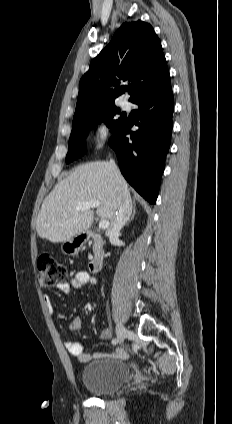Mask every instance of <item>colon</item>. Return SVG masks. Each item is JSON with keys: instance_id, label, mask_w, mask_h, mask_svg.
<instances>
[{"instance_id": "1", "label": "colon", "mask_w": 232, "mask_h": 424, "mask_svg": "<svg viewBox=\"0 0 232 424\" xmlns=\"http://www.w3.org/2000/svg\"><path fill=\"white\" fill-rule=\"evenodd\" d=\"M37 276L44 287L54 286L68 277V269L52 254H42L38 259Z\"/></svg>"}]
</instances>
